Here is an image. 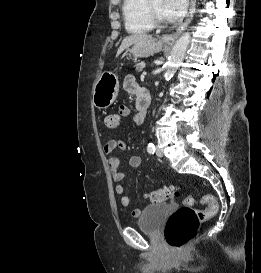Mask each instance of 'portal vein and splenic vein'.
Segmentation results:
<instances>
[{
  "instance_id": "18ae733b",
  "label": "portal vein and splenic vein",
  "mask_w": 261,
  "mask_h": 273,
  "mask_svg": "<svg viewBox=\"0 0 261 273\" xmlns=\"http://www.w3.org/2000/svg\"><path fill=\"white\" fill-rule=\"evenodd\" d=\"M145 75H146V72H143V74L140 76L141 80L144 79Z\"/></svg>"
}]
</instances>
